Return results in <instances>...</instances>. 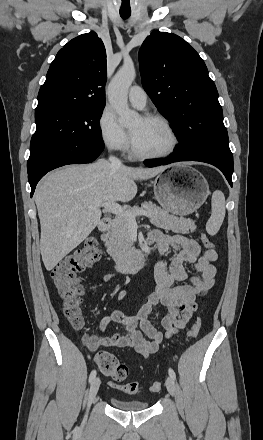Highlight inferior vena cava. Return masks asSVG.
<instances>
[{
  "mask_svg": "<svg viewBox=\"0 0 263 440\" xmlns=\"http://www.w3.org/2000/svg\"><path fill=\"white\" fill-rule=\"evenodd\" d=\"M109 161L112 164V166H115V167L122 166V162L118 158H116L114 156H110L109 157Z\"/></svg>",
  "mask_w": 263,
  "mask_h": 440,
  "instance_id": "602c4592",
  "label": "inferior vena cava"
}]
</instances>
